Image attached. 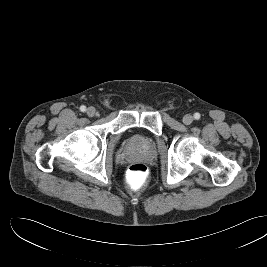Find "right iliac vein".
I'll use <instances>...</instances> for the list:
<instances>
[{
    "label": "right iliac vein",
    "instance_id": "obj_1",
    "mask_svg": "<svg viewBox=\"0 0 267 267\" xmlns=\"http://www.w3.org/2000/svg\"><path fill=\"white\" fill-rule=\"evenodd\" d=\"M87 115L89 117H93L96 114V109L94 107H89L86 111Z\"/></svg>",
    "mask_w": 267,
    "mask_h": 267
}]
</instances>
